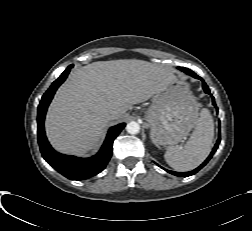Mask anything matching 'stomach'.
Wrapping results in <instances>:
<instances>
[{"mask_svg":"<svg viewBox=\"0 0 252 231\" xmlns=\"http://www.w3.org/2000/svg\"><path fill=\"white\" fill-rule=\"evenodd\" d=\"M198 110L189 85L175 78L153 96L145 111L152 142L162 146L178 144L195 126Z\"/></svg>","mask_w":252,"mask_h":231,"instance_id":"obj_1","label":"stomach"}]
</instances>
